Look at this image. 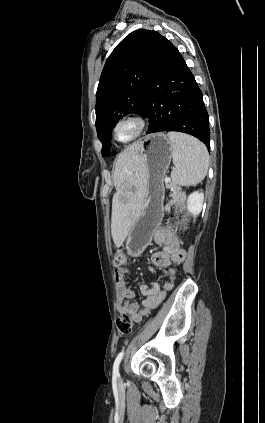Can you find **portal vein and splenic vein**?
Masks as SVG:
<instances>
[{
	"mask_svg": "<svg viewBox=\"0 0 265 423\" xmlns=\"http://www.w3.org/2000/svg\"><path fill=\"white\" fill-rule=\"evenodd\" d=\"M165 182H170V178H165Z\"/></svg>",
	"mask_w": 265,
	"mask_h": 423,
	"instance_id": "18ae733b",
	"label": "portal vein and splenic vein"
}]
</instances>
